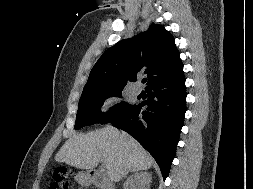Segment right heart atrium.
Returning a JSON list of instances; mask_svg holds the SVG:
<instances>
[{
    "mask_svg": "<svg viewBox=\"0 0 253 189\" xmlns=\"http://www.w3.org/2000/svg\"><path fill=\"white\" fill-rule=\"evenodd\" d=\"M117 101V99L115 97H110L108 99L105 100L104 105H103V109L107 110L108 108H110L115 102Z\"/></svg>",
    "mask_w": 253,
    "mask_h": 189,
    "instance_id": "1",
    "label": "right heart atrium"
}]
</instances>
